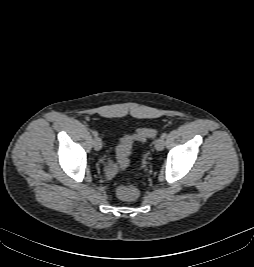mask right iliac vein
<instances>
[{
  "instance_id": "obj_1",
  "label": "right iliac vein",
  "mask_w": 254,
  "mask_h": 267,
  "mask_svg": "<svg viewBox=\"0 0 254 267\" xmlns=\"http://www.w3.org/2000/svg\"><path fill=\"white\" fill-rule=\"evenodd\" d=\"M93 146L96 151H99L102 148V140L100 137H95L93 140Z\"/></svg>"
}]
</instances>
